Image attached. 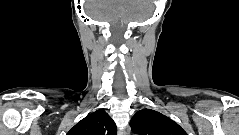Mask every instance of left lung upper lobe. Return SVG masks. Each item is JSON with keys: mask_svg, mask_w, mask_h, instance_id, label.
Listing matches in <instances>:
<instances>
[{"mask_svg": "<svg viewBox=\"0 0 239 135\" xmlns=\"http://www.w3.org/2000/svg\"><path fill=\"white\" fill-rule=\"evenodd\" d=\"M130 125L132 132L138 135H187L176 122L151 109L138 111Z\"/></svg>", "mask_w": 239, "mask_h": 135, "instance_id": "1", "label": "left lung upper lobe"}]
</instances>
